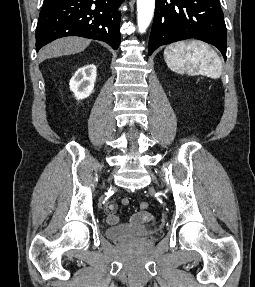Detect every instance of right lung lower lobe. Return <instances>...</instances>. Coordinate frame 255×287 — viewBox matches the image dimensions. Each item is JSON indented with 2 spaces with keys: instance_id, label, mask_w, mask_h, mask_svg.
Returning a JSON list of instances; mask_svg holds the SVG:
<instances>
[{
  "instance_id": "98d812e1",
  "label": "right lung lower lobe",
  "mask_w": 255,
  "mask_h": 287,
  "mask_svg": "<svg viewBox=\"0 0 255 287\" xmlns=\"http://www.w3.org/2000/svg\"><path fill=\"white\" fill-rule=\"evenodd\" d=\"M124 0H45L36 28V51L65 36L101 40L118 49Z\"/></svg>"
}]
</instances>
